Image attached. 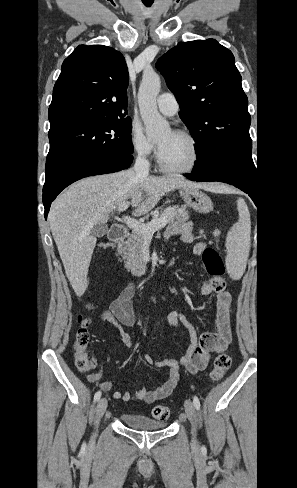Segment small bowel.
Instances as JSON below:
<instances>
[{
	"instance_id": "small-bowel-1",
	"label": "small bowel",
	"mask_w": 297,
	"mask_h": 488,
	"mask_svg": "<svg viewBox=\"0 0 297 488\" xmlns=\"http://www.w3.org/2000/svg\"><path fill=\"white\" fill-rule=\"evenodd\" d=\"M179 236L184 243H194L193 253L195 255H202L206 250V244L203 242H196V235L193 232L191 223L169 226L165 232L166 239L173 236ZM200 291L203 295L215 293V323L213 330L201 335L199 343L195 340V331L189 323L187 317L177 310L170 312L168 322L173 327L180 325L184 326L192 337V343L184 352L180 360L163 359L157 360L148 354L143 356L145 362L156 368L167 369V376L162 385L147 389L145 387L137 391L132 398L129 391H116L113 394L114 399H122L127 402L130 400L144 401L152 403L157 400L168 397L176 387L180 370L183 368L190 373H196L204 370L210 360L211 354L218 352L224 346L229 344L231 339L230 334V315H231V297L228 292H216L210 280L204 279L200 285ZM135 294V285L127 284L119 295L110 303L109 310L102 312L101 319L106 321L119 329L122 342L128 348H131V338L126 331L135 323V314L133 309L132 298ZM104 376L103 371H97L87 376L90 383H97ZM98 388L103 392H108L113 386V380L107 379L97 384ZM99 390V391H100ZM100 391V392H101Z\"/></svg>"
}]
</instances>
